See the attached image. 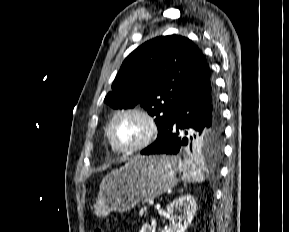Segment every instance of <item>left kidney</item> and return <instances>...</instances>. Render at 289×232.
<instances>
[{
  "label": "left kidney",
  "mask_w": 289,
  "mask_h": 232,
  "mask_svg": "<svg viewBox=\"0 0 289 232\" xmlns=\"http://www.w3.org/2000/svg\"><path fill=\"white\" fill-rule=\"evenodd\" d=\"M196 207V200L190 194L182 195L169 203L167 214L171 216L172 223L165 232H185L194 218ZM140 232H154V230L152 226L145 224Z\"/></svg>",
  "instance_id": "1"
}]
</instances>
